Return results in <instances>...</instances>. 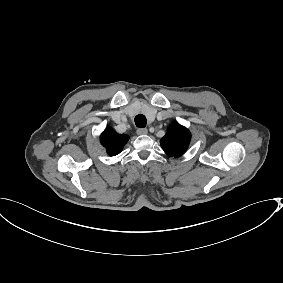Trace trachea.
I'll list each match as a JSON object with an SVG mask.
<instances>
[{
  "instance_id": "trachea-1",
  "label": "trachea",
  "mask_w": 283,
  "mask_h": 283,
  "mask_svg": "<svg viewBox=\"0 0 283 283\" xmlns=\"http://www.w3.org/2000/svg\"><path fill=\"white\" fill-rule=\"evenodd\" d=\"M135 125L139 128L146 127V117L142 114H139L135 117Z\"/></svg>"
}]
</instances>
